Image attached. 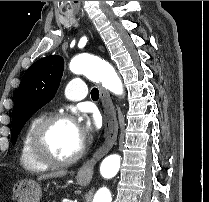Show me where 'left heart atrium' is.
<instances>
[{
	"label": "left heart atrium",
	"instance_id": "39dd6f15",
	"mask_svg": "<svg viewBox=\"0 0 209 202\" xmlns=\"http://www.w3.org/2000/svg\"><path fill=\"white\" fill-rule=\"evenodd\" d=\"M75 129L78 138L83 141L87 134H89L92 130L91 122L86 119L84 116H80L78 122L75 123Z\"/></svg>",
	"mask_w": 209,
	"mask_h": 202
}]
</instances>
